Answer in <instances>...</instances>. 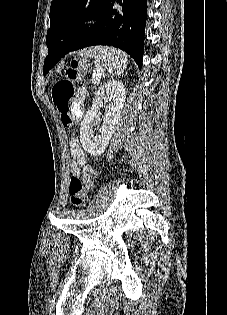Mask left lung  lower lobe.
Wrapping results in <instances>:
<instances>
[{
  "mask_svg": "<svg viewBox=\"0 0 227 315\" xmlns=\"http://www.w3.org/2000/svg\"><path fill=\"white\" fill-rule=\"evenodd\" d=\"M117 2L121 9L114 8ZM147 0H107L95 24L74 45L61 38L47 41L49 50L44 63L47 73L67 53L89 46L108 45L127 52L142 67Z\"/></svg>",
  "mask_w": 227,
  "mask_h": 315,
  "instance_id": "1",
  "label": "left lung lower lobe"
}]
</instances>
